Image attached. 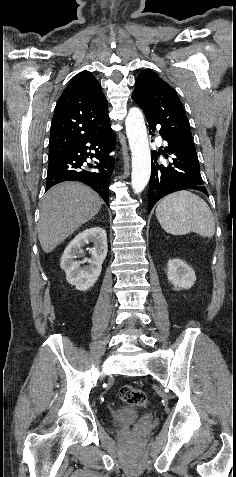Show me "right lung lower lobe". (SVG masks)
<instances>
[{"label": "right lung lower lobe", "instance_id": "1", "mask_svg": "<svg viewBox=\"0 0 236 477\" xmlns=\"http://www.w3.org/2000/svg\"><path fill=\"white\" fill-rule=\"evenodd\" d=\"M116 140L110 123L89 134L65 155L49 161L46 191L64 181H80L89 185L109 204L108 185L114 169L110 153ZM94 158V163L86 162Z\"/></svg>", "mask_w": 236, "mask_h": 477}]
</instances>
